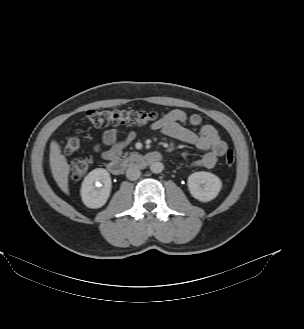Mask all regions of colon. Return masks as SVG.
I'll use <instances>...</instances> for the list:
<instances>
[{"label": "colon", "mask_w": 304, "mask_h": 329, "mask_svg": "<svg viewBox=\"0 0 304 329\" xmlns=\"http://www.w3.org/2000/svg\"><path fill=\"white\" fill-rule=\"evenodd\" d=\"M86 121L95 127L108 125L143 126L154 125L160 120L156 112L126 110V109H100L87 112ZM83 145L80 136H72L67 139L64 150L67 154L78 152ZM225 163L229 166L235 162V153L227 150L224 156ZM92 160L89 157L77 159L71 163L70 174L75 180L81 179L90 169Z\"/></svg>", "instance_id": "colon-1"}]
</instances>
